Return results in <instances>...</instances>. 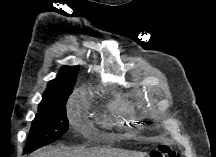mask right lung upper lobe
Masks as SVG:
<instances>
[{
  "mask_svg": "<svg viewBox=\"0 0 216 157\" xmlns=\"http://www.w3.org/2000/svg\"><path fill=\"white\" fill-rule=\"evenodd\" d=\"M79 66H64L60 69L57 77L47 84V89L43 94V100L39 106L43 105L50 97L56 95L60 91L73 90L76 83Z\"/></svg>",
  "mask_w": 216,
  "mask_h": 157,
  "instance_id": "cb5924a9",
  "label": "right lung upper lobe"
}]
</instances>
